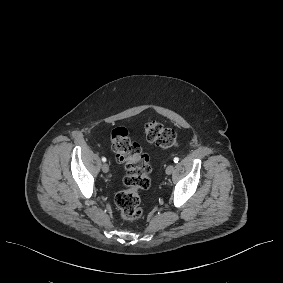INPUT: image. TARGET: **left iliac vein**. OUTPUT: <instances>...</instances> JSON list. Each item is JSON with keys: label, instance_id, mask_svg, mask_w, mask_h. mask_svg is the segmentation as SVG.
Returning a JSON list of instances; mask_svg holds the SVG:
<instances>
[{"label": "left iliac vein", "instance_id": "1", "mask_svg": "<svg viewBox=\"0 0 283 283\" xmlns=\"http://www.w3.org/2000/svg\"><path fill=\"white\" fill-rule=\"evenodd\" d=\"M173 171H174V166L172 164L168 165L166 168V174L170 175Z\"/></svg>", "mask_w": 283, "mask_h": 283}]
</instances>
